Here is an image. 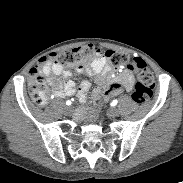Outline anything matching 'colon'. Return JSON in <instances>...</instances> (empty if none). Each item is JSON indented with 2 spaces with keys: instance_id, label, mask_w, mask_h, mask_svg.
<instances>
[{
  "instance_id": "colon-1",
  "label": "colon",
  "mask_w": 183,
  "mask_h": 183,
  "mask_svg": "<svg viewBox=\"0 0 183 183\" xmlns=\"http://www.w3.org/2000/svg\"><path fill=\"white\" fill-rule=\"evenodd\" d=\"M95 54L94 47L82 46L71 50H66L58 54L41 59L37 66L30 71L29 94L32 100L38 105H43L47 101V89L42 75L43 68L53 62L63 68L79 67L85 64ZM105 56L109 64L116 69L134 70L137 74L138 82L132 93L134 102L140 104L152 97L155 88V79L152 72L147 68L146 63L140 58L129 59L124 53L108 50ZM125 84L122 81L111 82L109 89L99 100L101 105H105L110 97L122 96ZM100 114L98 109L86 116L88 121H92Z\"/></svg>"
}]
</instances>
